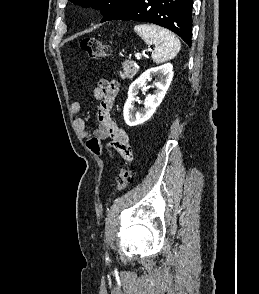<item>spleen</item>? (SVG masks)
<instances>
[{
    "mask_svg": "<svg viewBox=\"0 0 259 294\" xmlns=\"http://www.w3.org/2000/svg\"><path fill=\"white\" fill-rule=\"evenodd\" d=\"M134 31L148 45H154L152 59L155 63H163L174 58L180 51L179 39L169 30L149 24L135 25Z\"/></svg>",
    "mask_w": 259,
    "mask_h": 294,
    "instance_id": "1",
    "label": "spleen"
}]
</instances>
